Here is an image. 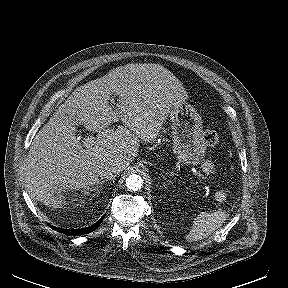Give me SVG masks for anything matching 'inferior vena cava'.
<instances>
[{
  "label": "inferior vena cava",
  "instance_id": "1",
  "mask_svg": "<svg viewBox=\"0 0 288 288\" xmlns=\"http://www.w3.org/2000/svg\"><path fill=\"white\" fill-rule=\"evenodd\" d=\"M122 170L120 162H106L97 167V174L101 179L111 180Z\"/></svg>",
  "mask_w": 288,
  "mask_h": 288
}]
</instances>
